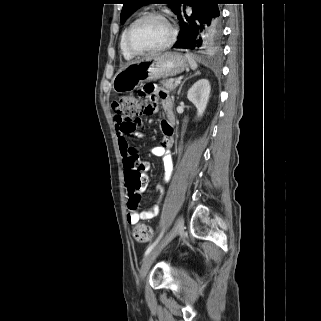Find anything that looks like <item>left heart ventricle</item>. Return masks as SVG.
Listing matches in <instances>:
<instances>
[{
	"label": "left heart ventricle",
	"mask_w": 321,
	"mask_h": 321,
	"mask_svg": "<svg viewBox=\"0 0 321 321\" xmlns=\"http://www.w3.org/2000/svg\"><path fill=\"white\" fill-rule=\"evenodd\" d=\"M170 35L168 25L160 18L150 17L138 23L131 32L130 45L145 51L165 43Z\"/></svg>",
	"instance_id": "obj_1"
}]
</instances>
